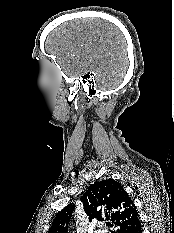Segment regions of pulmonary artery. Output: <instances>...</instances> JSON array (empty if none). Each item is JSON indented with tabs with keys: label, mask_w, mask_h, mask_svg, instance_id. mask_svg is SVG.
I'll return each mask as SVG.
<instances>
[{
	"label": "pulmonary artery",
	"mask_w": 174,
	"mask_h": 233,
	"mask_svg": "<svg viewBox=\"0 0 174 233\" xmlns=\"http://www.w3.org/2000/svg\"><path fill=\"white\" fill-rule=\"evenodd\" d=\"M95 233H103V231L98 230V231H95Z\"/></svg>",
	"instance_id": "e3ab8cb5"
}]
</instances>
